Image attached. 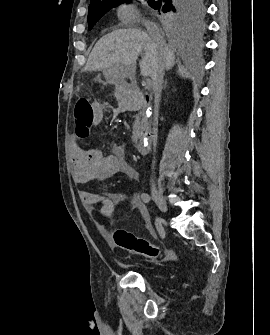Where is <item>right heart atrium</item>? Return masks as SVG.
Returning <instances> with one entry per match:
<instances>
[{"label":"right heart atrium","mask_w":270,"mask_h":335,"mask_svg":"<svg viewBox=\"0 0 270 335\" xmlns=\"http://www.w3.org/2000/svg\"><path fill=\"white\" fill-rule=\"evenodd\" d=\"M118 17L121 20L122 24L125 25H133L139 23H144L145 25H154L146 23L140 16L135 6L129 2H124L120 4L118 8Z\"/></svg>","instance_id":"1"}]
</instances>
